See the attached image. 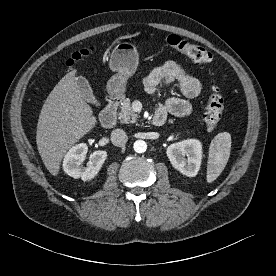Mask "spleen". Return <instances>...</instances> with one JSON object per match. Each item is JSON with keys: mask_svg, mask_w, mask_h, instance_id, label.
<instances>
[{"mask_svg": "<svg viewBox=\"0 0 276 276\" xmlns=\"http://www.w3.org/2000/svg\"><path fill=\"white\" fill-rule=\"evenodd\" d=\"M231 150V135L228 132L217 134L211 141L208 153L206 180L212 183L224 170Z\"/></svg>", "mask_w": 276, "mask_h": 276, "instance_id": "obj_1", "label": "spleen"}]
</instances>
